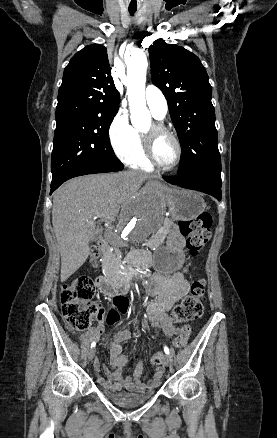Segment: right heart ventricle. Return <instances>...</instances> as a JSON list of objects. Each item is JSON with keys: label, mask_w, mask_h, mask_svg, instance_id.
Returning a JSON list of instances; mask_svg holds the SVG:
<instances>
[{"label": "right heart ventricle", "mask_w": 277, "mask_h": 438, "mask_svg": "<svg viewBox=\"0 0 277 438\" xmlns=\"http://www.w3.org/2000/svg\"><path fill=\"white\" fill-rule=\"evenodd\" d=\"M135 130V129H134ZM136 145L134 151L122 157L123 160L133 169L141 170L144 172H152L154 165L148 160L139 131L135 130Z\"/></svg>", "instance_id": "e07e8e85"}]
</instances>
